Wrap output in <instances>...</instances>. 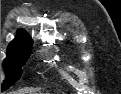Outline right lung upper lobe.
I'll list each match as a JSON object with an SVG mask.
<instances>
[{
    "mask_svg": "<svg viewBox=\"0 0 121 94\" xmlns=\"http://www.w3.org/2000/svg\"><path fill=\"white\" fill-rule=\"evenodd\" d=\"M28 38H30L29 35L26 32L21 30L18 32L17 37L10 43V45L21 42V41L28 39Z\"/></svg>",
    "mask_w": 121,
    "mask_h": 94,
    "instance_id": "1",
    "label": "right lung upper lobe"
}]
</instances>
